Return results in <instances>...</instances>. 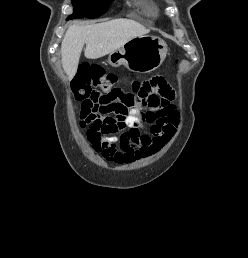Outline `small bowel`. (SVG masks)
<instances>
[{"mask_svg":"<svg viewBox=\"0 0 248 258\" xmlns=\"http://www.w3.org/2000/svg\"><path fill=\"white\" fill-rule=\"evenodd\" d=\"M116 102L130 113L127 125L113 135L90 140L101 157L116 164H127L155 155L176 133L179 114L173 104L174 93L161 78L145 81L138 93L113 91ZM82 127L88 122L84 109ZM109 134V133H107ZM116 134V135H115Z\"/></svg>","mask_w":248,"mask_h":258,"instance_id":"c3829d8e","label":"small bowel"}]
</instances>
